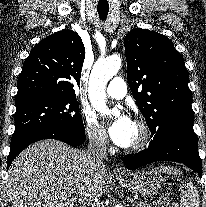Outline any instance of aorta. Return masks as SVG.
<instances>
[{
  "label": "aorta",
  "instance_id": "aorta-1",
  "mask_svg": "<svg viewBox=\"0 0 206 207\" xmlns=\"http://www.w3.org/2000/svg\"><path fill=\"white\" fill-rule=\"evenodd\" d=\"M122 60L119 55L99 59L92 70L89 82V99L97 111L109 113L106 105L105 87L107 82L119 71Z\"/></svg>",
  "mask_w": 206,
  "mask_h": 207
}]
</instances>
